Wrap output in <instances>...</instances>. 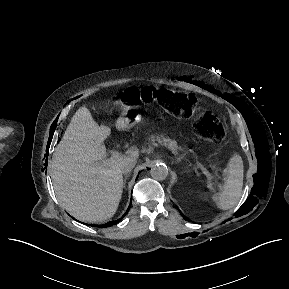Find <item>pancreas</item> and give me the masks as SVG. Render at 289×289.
Wrapping results in <instances>:
<instances>
[{"instance_id": "obj_1", "label": "pancreas", "mask_w": 289, "mask_h": 289, "mask_svg": "<svg viewBox=\"0 0 289 289\" xmlns=\"http://www.w3.org/2000/svg\"><path fill=\"white\" fill-rule=\"evenodd\" d=\"M149 141L151 143H159L160 145L170 149V150H177L178 146H177V142L175 140H172L170 138H165L162 135H152L149 138Z\"/></svg>"}]
</instances>
